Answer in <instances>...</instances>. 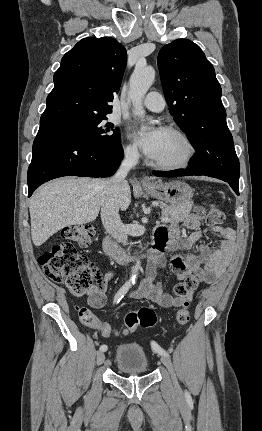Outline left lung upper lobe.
I'll use <instances>...</instances> for the list:
<instances>
[{"mask_svg":"<svg viewBox=\"0 0 262 431\" xmlns=\"http://www.w3.org/2000/svg\"><path fill=\"white\" fill-rule=\"evenodd\" d=\"M158 67L170 114L196 150L191 169L239 182V160L213 65L195 43L177 39L162 47Z\"/></svg>","mask_w":262,"mask_h":431,"instance_id":"left-lung-upper-lobe-1","label":"left lung upper lobe"}]
</instances>
